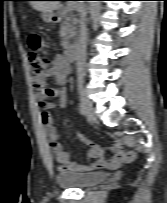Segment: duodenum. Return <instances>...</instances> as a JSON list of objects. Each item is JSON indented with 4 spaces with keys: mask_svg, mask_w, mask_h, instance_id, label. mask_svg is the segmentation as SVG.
<instances>
[{
    "mask_svg": "<svg viewBox=\"0 0 167 203\" xmlns=\"http://www.w3.org/2000/svg\"><path fill=\"white\" fill-rule=\"evenodd\" d=\"M63 13V10L60 8L54 9L52 11V21L58 22L61 19V15ZM77 54V46L75 44H70L66 47L65 53H64V59L66 62H73L76 58Z\"/></svg>",
    "mask_w": 167,
    "mask_h": 203,
    "instance_id": "duodenum-1",
    "label": "duodenum"
}]
</instances>
